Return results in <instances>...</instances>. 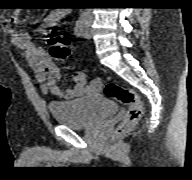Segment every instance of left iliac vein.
<instances>
[{"label":"left iliac vein","instance_id":"1","mask_svg":"<svg viewBox=\"0 0 192 180\" xmlns=\"http://www.w3.org/2000/svg\"><path fill=\"white\" fill-rule=\"evenodd\" d=\"M83 37L86 39L91 38V29L89 23L85 25L84 32H83Z\"/></svg>","mask_w":192,"mask_h":180}]
</instances>
